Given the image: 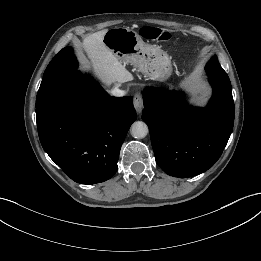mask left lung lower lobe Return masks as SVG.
Instances as JSON below:
<instances>
[{"label":"left lung lower lobe","instance_id":"left-lung-lower-lobe-1","mask_svg":"<svg viewBox=\"0 0 261 261\" xmlns=\"http://www.w3.org/2000/svg\"><path fill=\"white\" fill-rule=\"evenodd\" d=\"M205 70L213 87L207 108L190 107L178 92L158 88L143 92L142 119L149 127L156 162L174 177L187 178L211 168L232 133L234 102L229 77L216 57Z\"/></svg>","mask_w":261,"mask_h":261}]
</instances>
